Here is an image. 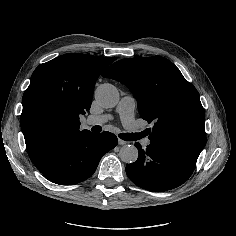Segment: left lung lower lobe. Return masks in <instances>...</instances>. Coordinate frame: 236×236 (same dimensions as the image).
I'll return each instance as SVG.
<instances>
[{"label":"left lung lower lobe","instance_id":"1","mask_svg":"<svg viewBox=\"0 0 236 236\" xmlns=\"http://www.w3.org/2000/svg\"><path fill=\"white\" fill-rule=\"evenodd\" d=\"M139 157L126 166V173L137 186L151 191H167L186 182L194 171L198 157L169 144L151 141L142 149L136 142Z\"/></svg>","mask_w":236,"mask_h":236}]
</instances>
